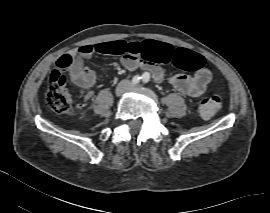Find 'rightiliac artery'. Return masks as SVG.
Instances as JSON below:
<instances>
[{
	"mask_svg": "<svg viewBox=\"0 0 270 213\" xmlns=\"http://www.w3.org/2000/svg\"><path fill=\"white\" fill-rule=\"evenodd\" d=\"M142 79V76L140 75H136L132 78V83L133 84H138L140 82V80Z\"/></svg>",
	"mask_w": 270,
	"mask_h": 213,
	"instance_id": "82829eb1",
	"label": "right iliac artery"
}]
</instances>
